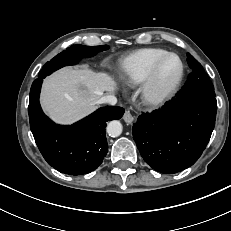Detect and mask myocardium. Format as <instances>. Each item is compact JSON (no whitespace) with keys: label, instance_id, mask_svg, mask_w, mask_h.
<instances>
[{"label":"myocardium","instance_id":"f54148a6","mask_svg":"<svg viewBox=\"0 0 231 231\" xmlns=\"http://www.w3.org/2000/svg\"><path fill=\"white\" fill-rule=\"evenodd\" d=\"M170 57H176L180 63V71L175 81L166 88L158 89L156 87V80L163 63ZM185 74V65L182 58L173 52H168L162 56L152 67L147 77L142 82L141 86V99L142 101L151 106L159 105L168 100L180 87Z\"/></svg>","mask_w":231,"mask_h":231}]
</instances>
